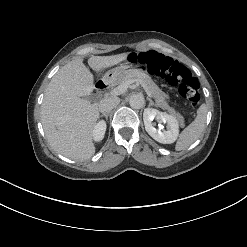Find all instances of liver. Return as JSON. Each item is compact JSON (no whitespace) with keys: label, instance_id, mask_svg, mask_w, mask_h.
Returning a JSON list of instances; mask_svg holds the SVG:
<instances>
[{"label":"liver","instance_id":"obj_1","mask_svg":"<svg viewBox=\"0 0 247 247\" xmlns=\"http://www.w3.org/2000/svg\"><path fill=\"white\" fill-rule=\"evenodd\" d=\"M128 53L92 56L89 66L98 72L116 65ZM94 90L93 75L82 59L72 60L51 79L41 105V122L50 146L63 156L84 161L96 151L93 130L99 118L98 103L84 97Z\"/></svg>","mask_w":247,"mask_h":247}]
</instances>
